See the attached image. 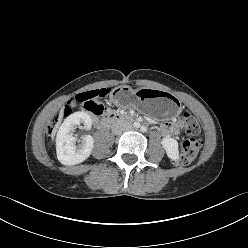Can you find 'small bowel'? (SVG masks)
I'll return each instance as SVG.
<instances>
[{
  "mask_svg": "<svg viewBox=\"0 0 248 248\" xmlns=\"http://www.w3.org/2000/svg\"><path fill=\"white\" fill-rule=\"evenodd\" d=\"M161 130L165 133V134H169V135H178L180 132V128H179V123L178 122H163L161 124Z\"/></svg>",
  "mask_w": 248,
  "mask_h": 248,
  "instance_id": "1",
  "label": "small bowel"
}]
</instances>
